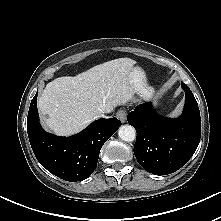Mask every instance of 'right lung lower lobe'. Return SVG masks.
Returning a JSON list of instances; mask_svg holds the SVG:
<instances>
[{
  "label": "right lung lower lobe",
  "instance_id": "obj_1",
  "mask_svg": "<svg viewBox=\"0 0 221 221\" xmlns=\"http://www.w3.org/2000/svg\"><path fill=\"white\" fill-rule=\"evenodd\" d=\"M36 99L37 94L30 104L27 133L37 160L63 180L75 182L88 178L97 167L103 144L118 130L121 122L117 118H101L74 136L57 137L42 129Z\"/></svg>",
  "mask_w": 221,
  "mask_h": 221
}]
</instances>
